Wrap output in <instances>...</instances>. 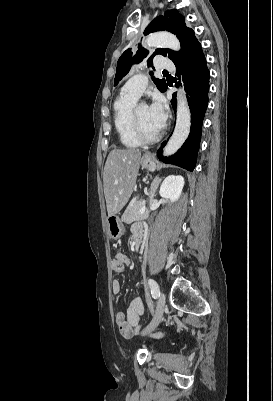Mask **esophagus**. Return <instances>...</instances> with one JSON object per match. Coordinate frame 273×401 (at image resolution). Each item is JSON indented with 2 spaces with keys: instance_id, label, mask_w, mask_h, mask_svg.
Returning a JSON list of instances; mask_svg holds the SVG:
<instances>
[{
  "instance_id": "34e87169",
  "label": "esophagus",
  "mask_w": 273,
  "mask_h": 401,
  "mask_svg": "<svg viewBox=\"0 0 273 401\" xmlns=\"http://www.w3.org/2000/svg\"><path fill=\"white\" fill-rule=\"evenodd\" d=\"M147 158H153L152 155L150 153L145 155Z\"/></svg>"
}]
</instances>
